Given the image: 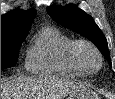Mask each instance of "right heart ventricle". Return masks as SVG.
<instances>
[{
	"label": "right heart ventricle",
	"instance_id": "right-heart-ventricle-1",
	"mask_svg": "<svg viewBox=\"0 0 115 99\" xmlns=\"http://www.w3.org/2000/svg\"><path fill=\"white\" fill-rule=\"evenodd\" d=\"M73 40L56 27L42 28L28 49L26 68L39 75L81 78L85 74L71 62L69 48Z\"/></svg>",
	"mask_w": 115,
	"mask_h": 99
}]
</instances>
